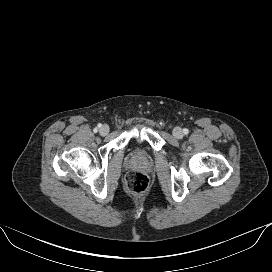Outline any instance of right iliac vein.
<instances>
[{"label":"right iliac vein","instance_id":"right-iliac-vein-1","mask_svg":"<svg viewBox=\"0 0 272 272\" xmlns=\"http://www.w3.org/2000/svg\"><path fill=\"white\" fill-rule=\"evenodd\" d=\"M99 132L101 135L105 136L109 133V126L104 124L101 126V128L99 129Z\"/></svg>","mask_w":272,"mask_h":272}]
</instances>
